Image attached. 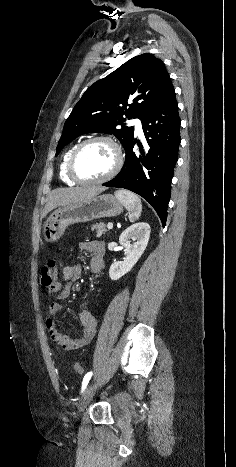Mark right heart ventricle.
<instances>
[{
  "mask_svg": "<svg viewBox=\"0 0 236 467\" xmlns=\"http://www.w3.org/2000/svg\"><path fill=\"white\" fill-rule=\"evenodd\" d=\"M77 145H74L72 146L71 148H69L65 154L63 155L62 157V160L60 162V166H59V176L61 178V180L68 184V185H74L76 184V182L74 180H72L69 176H68V173H67V164H68V160H69V157L72 153V151L75 149Z\"/></svg>",
  "mask_w": 236,
  "mask_h": 467,
  "instance_id": "1",
  "label": "right heart ventricle"
}]
</instances>
